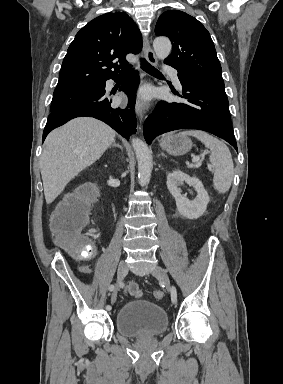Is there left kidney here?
<instances>
[{"instance_id": "5707ae66", "label": "left kidney", "mask_w": 283, "mask_h": 384, "mask_svg": "<svg viewBox=\"0 0 283 384\" xmlns=\"http://www.w3.org/2000/svg\"><path fill=\"white\" fill-rule=\"evenodd\" d=\"M184 182L188 186L195 188L197 196L195 200H188L186 196H182V190L178 186H184ZM167 188L176 200V206L179 214L189 220H197L206 212L207 204H209V196L198 178H190L187 174H183L180 170H174L167 176Z\"/></svg>"}]
</instances>
